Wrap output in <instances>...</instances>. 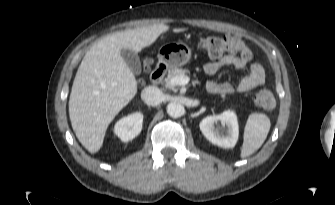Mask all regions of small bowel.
Masks as SVG:
<instances>
[{"label": "small bowel", "instance_id": "c3829d8e", "mask_svg": "<svg viewBox=\"0 0 335 205\" xmlns=\"http://www.w3.org/2000/svg\"><path fill=\"white\" fill-rule=\"evenodd\" d=\"M247 62L245 59L235 55H225L216 61L209 62L205 65V71L209 75H214L222 68L234 67L237 70H244ZM265 81V72L259 63L250 65L247 74L240 80V82L233 86L228 82L214 83L209 82L206 86L208 92L215 94H231L235 91L244 93L248 92Z\"/></svg>", "mask_w": 335, "mask_h": 205}]
</instances>
